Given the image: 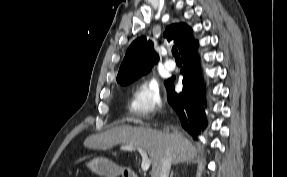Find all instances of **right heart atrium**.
Listing matches in <instances>:
<instances>
[{"instance_id": "right-heart-atrium-1", "label": "right heart atrium", "mask_w": 287, "mask_h": 177, "mask_svg": "<svg viewBox=\"0 0 287 177\" xmlns=\"http://www.w3.org/2000/svg\"><path fill=\"white\" fill-rule=\"evenodd\" d=\"M161 90L156 79L149 78L139 82L131 93L132 108L142 114L155 111L161 105Z\"/></svg>"}]
</instances>
